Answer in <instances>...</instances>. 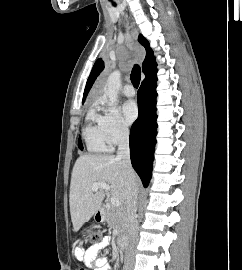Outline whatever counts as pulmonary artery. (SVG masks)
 <instances>
[{"label":"pulmonary artery","mask_w":242,"mask_h":270,"mask_svg":"<svg viewBox=\"0 0 242 270\" xmlns=\"http://www.w3.org/2000/svg\"><path fill=\"white\" fill-rule=\"evenodd\" d=\"M123 93L127 97H133L136 94L135 89L132 85L125 86V88L123 89Z\"/></svg>","instance_id":"obj_1"}]
</instances>
